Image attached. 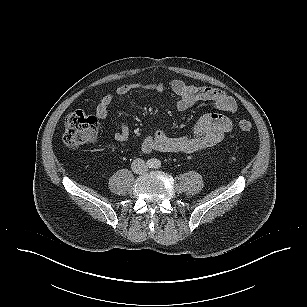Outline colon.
Segmentation results:
<instances>
[{"mask_svg": "<svg viewBox=\"0 0 307 307\" xmlns=\"http://www.w3.org/2000/svg\"><path fill=\"white\" fill-rule=\"evenodd\" d=\"M238 128L243 132H250L253 124L249 119L238 121ZM99 132L98 119L82 111L70 113L65 120L63 141L68 148H77L94 140Z\"/></svg>", "mask_w": 307, "mask_h": 307, "instance_id": "obj_1", "label": "colon"}]
</instances>
